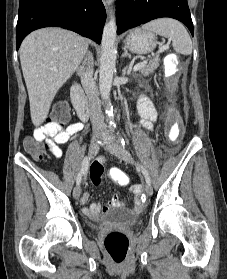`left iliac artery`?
Wrapping results in <instances>:
<instances>
[{
	"label": "left iliac artery",
	"mask_w": 227,
	"mask_h": 279,
	"mask_svg": "<svg viewBox=\"0 0 227 279\" xmlns=\"http://www.w3.org/2000/svg\"><path fill=\"white\" fill-rule=\"evenodd\" d=\"M119 140H120L121 146L125 149L126 144H125L124 139L122 137H119ZM140 167H141L142 173L145 177L147 184L151 185V179H150V176H149L147 170L143 166H140Z\"/></svg>",
	"instance_id": "left-iliac-artery-1"
}]
</instances>
